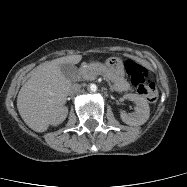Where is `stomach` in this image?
Segmentation results:
<instances>
[{"label":"stomach","instance_id":"stomach-1","mask_svg":"<svg viewBox=\"0 0 187 187\" xmlns=\"http://www.w3.org/2000/svg\"><path fill=\"white\" fill-rule=\"evenodd\" d=\"M105 65L113 76L115 82L119 81L125 74L123 61L118 57H110Z\"/></svg>","mask_w":187,"mask_h":187}]
</instances>
